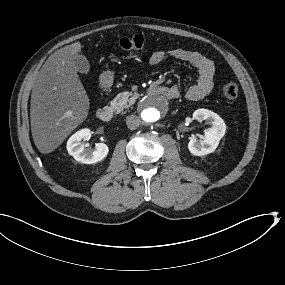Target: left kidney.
Masks as SVG:
<instances>
[{
	"label": "left kidney",
	"mask_w": 285,
	"mask_h": 285,
	"mask_svg": "<svg viewBox=\"0 0 285 285\" xmlns=\"http://www.w3.org/2000/svg\"><path fill=\"white\" fill-rule=\"evenodd\" d=\"M193 118L199 122L206 121L207 124L212 126L205 131L202 140L198 141L195 137H191L188 144L189 151L195 156L214 152L225 134V122L218 114L207 109H197L193 113Z\"/></svg>",
	"instance_id": "obj_1"
}]
</instances>
